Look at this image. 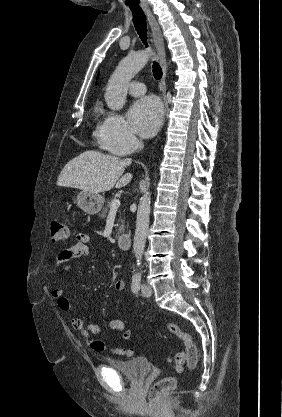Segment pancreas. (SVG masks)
Masks as SVG:
<instances>
[{
  "instance_id": "obj_1",
  "label": "pancreas",
  "mask_w": 282,
  "mask_h": 417,
  "mask_svg": "<svg viewBox=\"0 0 282 417\" xmlns=\"http://www.w3.org/2000/svg\"><path fill=\"white\" fill-rule=\"evenodd\" d=\"M112 200H114V198H111V200H108L106 206H104V209H103L101 215H99V217H101V219H105V217L108 213V209H110ZM118 221H119V223H118L119 227L117 229L116 237H120L121 233H124V231H125L124 221H122V219H118Z\"/></svg>"
}]
</instances>
